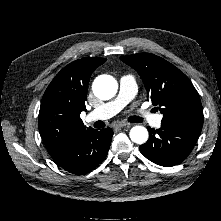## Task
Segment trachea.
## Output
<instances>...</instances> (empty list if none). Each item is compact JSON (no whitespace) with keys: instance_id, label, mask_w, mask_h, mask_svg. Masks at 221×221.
<instances>
[{"instance_id":"3493384b","label":"trachea","mask_w":221,"mask_h":221,"mask_svg":"<svg viewBox=\"0 0 221 221\" xmlns=\"http://www.w3.org/2000/svg\"><path fill=\"white\" fill-rule=\"evenodd\" d=\"M129 121H130V122H134V123H140V122H142L143 120H142V118H140V117H138V116H131V117H129Z\"/></svg>"}]
</instances>
